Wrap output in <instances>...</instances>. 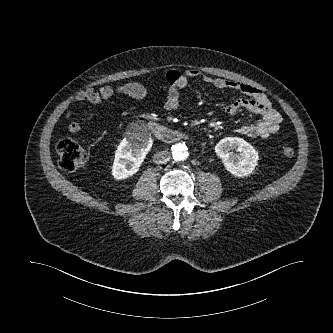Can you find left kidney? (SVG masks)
<instances>
[{"label":"left kidney","mask_w":333,"mask_h":333,"mask_svg":"<svg viewBox=\"0 0 333 333\" xmlns=\"http://www.w3.org/2000/svg\"><path fill=\"white\" fill-rule=\"evenodd\" d=\"M233 149L240 153L234 154ZM215 153L222 159L228 172L237 177L250 175L259 160L258 151L242 138L225 137L215 146Z\"/></svg>","instance_id":"left-kidney-1"}]
</instances>
